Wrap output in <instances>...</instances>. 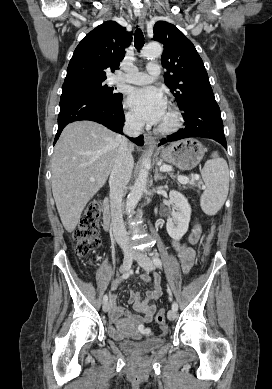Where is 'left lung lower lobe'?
I'll use <instances>...</instances> for the list:
<instances>
[{
    "label": "left lung lower lobe",
    "instance_id": "0a47b994",
    "mask_svg": "<svg viewBox=\"0 0 272 389\" xmlns=\"http://www.w3.org/2000/svg\"><path fill=\"white\" fill-rule=\"evenodd\" d=\"M184 112L185 128L167 136L159 145L184 138L203 137L213 139L227 149L220 108L214 95L196 100Z\"/></svg>",
    "mask_w": 272,
    "mask_h": 389
}]
</instances>
